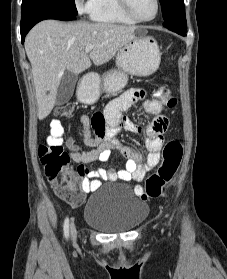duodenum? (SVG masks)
<instances>
[{
  "mask_svg": "<svg viewBox=\"0 0 227 279\" xmlns=\"http://www.w3.org/2000/svg\"><path fill=\"white\" fill-rule=\"evenodd\" d=\"M87 96V92H79L78 93V102L81 104H91L88 102L85 97Z\"/></svg>",
  "mask_w": 227,
  "mask_h": 279,
  "instance_id": "1",
  "label": "duodenum"
}]
</instances>
